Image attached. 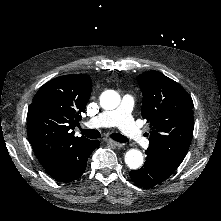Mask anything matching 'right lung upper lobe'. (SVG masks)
I'll return each mask as SVG.
<instances>
[{
	"instance_id": "obj_1",
	"label": "right lung upper lobe",
	"mask_w": 221,
	"mask_h": 221,
	"mask_svg": "<svg viewBox=\"0 0 221 221\" xmlns=\"http://www.w3.org/2000/svg\"><path fill=\"white\" fill-rule=\"evenodd\" d=\"M92 89L90 76L72 74L45 83L28 109V138L34 153L48 173L55 172L80 146L91 140L75 137L81 112Z\"/></svg>"
}]
</instances>
